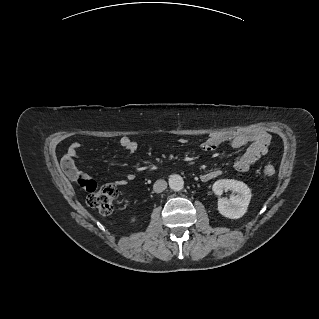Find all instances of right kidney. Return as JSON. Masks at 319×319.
Returning a JSON list of instances; mask_svg holds the SVG:
<instances>
[{
  "mask_svg": "<svg viewBox=\"0 0 319 319\" xmlns=\"http://www.w3.org/2000/svg\"><path fill=\"white\" fill-rule=\"evenodd\" d=\"M136 220V217H132L131 222H134Z\"/></svg>",
  "mask_w": 319,
  "mask_h": 319,
  "instance_id": "obj_1",
  "label": "right kidney"
}]
</instances>
